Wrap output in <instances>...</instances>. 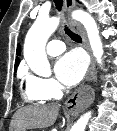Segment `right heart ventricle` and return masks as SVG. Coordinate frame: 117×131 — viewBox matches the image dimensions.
<instances>
[{"label": "right heart ventricle", "mask_w": 117, "mask_h": 131, "mask_svg": "<svg viewBox=\"0 0 117 131\" xmlns=\"http://www.w3.org/2000/svg\"><path fill=\"white\" fill-rule=\"evenodd\" d=\"M23 98L26 102L32 104L43 103L47 100V98L43 96L35 87L28 83L27 79L23 89Z\"/></svg>", "instance_id": "1"}]
</instances>
